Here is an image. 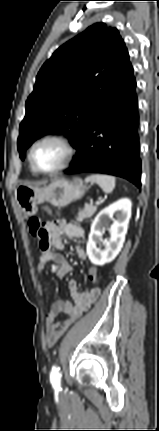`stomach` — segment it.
Listing matches in <instances>:
<instances>
[{
	"mask_svg": "<svg viewBox=\"0 0 159 431\" xmlns=\"http://www.w3.org/2000/svg\"><path fill=\"white\" fill-rule=\"evenodd\" d=\"M88 187L82 182H70L64 179L53 181L45 187L20 184L15 190V199L26 216L37 212V205L48 202L55 207H65L69 203L81 199Z\"/></svg>",
	"mask_w": 159,
	"mask_h": 431,
	"instance_id": "1",
	"label": "stomach"
}]
</instances>
